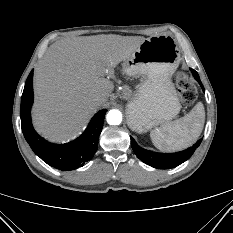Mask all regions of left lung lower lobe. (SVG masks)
Masks as SVG:
<instances>
[{
    "instance_id": "0a47b994",
    "label": "left lung lower lobe",
    "mask_w": 233,
    "mask_h": 233,
    "mask_svg": "<svg viewBox=\"0 0 233 233\" xmlns=\"http://www.w3.org/2000/svg\"><path fill=\"white\" fill-rule=\"evenodd\" d=\"M190 70L194 78L199 82V84L202 87V90L204 91V87L200 81L198 73L194 69L190 68ZM130 139H131L132 149L136 154V156L144 163L157 169L174 168L182 164L192 156V154L194 153V151L202 141V139L198 140L192 147H189L184 151L171 153V154H163V153H155L149 150H145L139 147L132 137H130Z\"/></svg>"
}]
</instances>
